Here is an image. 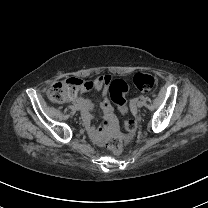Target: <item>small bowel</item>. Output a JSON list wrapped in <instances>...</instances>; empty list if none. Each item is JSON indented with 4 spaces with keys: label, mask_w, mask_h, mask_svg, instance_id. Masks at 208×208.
Returning <instances> with one entry per match:
<instances>
[{
    "label": "small bowel",
    "mask_w": 208,
    "mask_h": 208,
    "mask_svg": "<svg viewBox=\"0 0 208 208\" xmlns=\"http://www.w3.org/2000/svg\"><path fill=\"white\" fill-rule=\"evenodd\" d=\"M97 92H100L102 95V110L105 118V122L102 126L99 127L100 132H95L94 129L89 128L86 130L85 135L87 138L91 139L94 143H100L107 140L108 136L114 132L115 127L117 125V120L115 115L113 114L112 107L107 99V84L104 82H100L96 80L95 85L92 87ZM73 103L83 109V114L85 116L83 123L85 126L90 127L93 125V112L92 105L89 100L80 95L75 96L73 99Z\"/></svg>",
    "instance_id": "obj_1"
}]
</instances>
